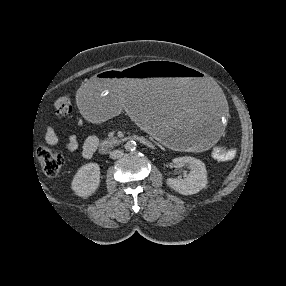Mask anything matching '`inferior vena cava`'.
Masks as SVG:
<instances>
[{
    "instance_id": "obj_1",
    "label": "inferior vena cava",
    "mask_w": 286,
    "mask_h": 286,
    "mask_svg": "<svg viewBox=\"0 0 286 286\" xmlns=\"http://www.w3.org/2000/svg\"><path fill=\"white\" fill-rule=\"evenodd\" d=\"M123 155V150H114L110 152L111 159H118Z\"/></svg>"
}]
</instances>
